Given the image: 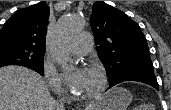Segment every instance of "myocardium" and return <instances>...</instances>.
I'll return each mask as SVG.
<instances>
[{
	"mask_svg": "<svg viewBox=\"0 0 171 110\" xmlns=\"http://www.w3.org/2000/svg\"><path fill=\"white\" fill-rule=\"evenodd\" d=\"M89 70L94 71L100 78L99 88L92 94L87 96H79L72 92L71 97L78 102H91L100 98L108 87V76L106 71L98 66H91Z\"/></svg>",
	"mask_w": 171,
	"mask_h": 110,
	"instance_id": "myocardium-1",
	"label": "myocardium"
}]
</instances>
